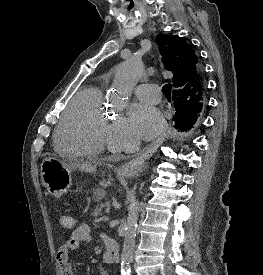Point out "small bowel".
<instances>
[{
  "label": "small bowel",
  "mask_w": 263,
  "mask_h": 275,
  "mask_svg": "<svg viewBox=\"0 0 263 275\" xmlns=\"http://www.w3.org/2000/svg\"><path fill=\"white\" fill-rule=\"evenodd\" d=\"M91 239L90 227L87 224H81L64 240L56 255L61 275H74L72 264L69 260L70 253L77 250L82 243H89ZM101 274L108 275L104 270H101Z\"/></svg>",
  "instance_id": "1"
}]
</instances>
